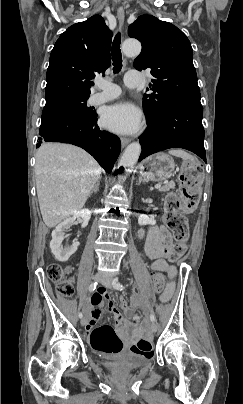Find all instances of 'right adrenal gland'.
<instances>
[{
  "instance_id": "1",
  "label": "right adrenal gland",
  "mask_w": 243,
  "mask_h": 404,
  "mask_svg": "<svg viewBox=\"0 0 243 404\" xmlns=\"http://www.w3.org/2000/svg\"><path fill=\"white\" fill-rule=\"evenodd\" d=\"M100 180H101V176L97 182V184H95L94 188H92L89 196H92L93 192H95V194H97L98 190H99V186H100Z\"/></svg>"
}]
</instances>
